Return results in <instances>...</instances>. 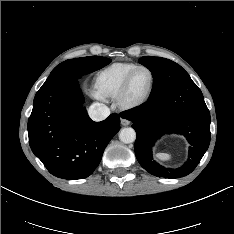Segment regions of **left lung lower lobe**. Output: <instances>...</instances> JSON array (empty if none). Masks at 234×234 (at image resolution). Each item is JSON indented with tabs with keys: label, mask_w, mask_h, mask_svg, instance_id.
Returning a JSON list of instances; mask_svg holds the SVG:
<instances>
[{
	"label": "left lung lower lobe",
	"mask_w": 234,
	"mask_h": 234,
	"mask_svg": "<svg viewBox=\"0 0 234 234\" xmlns=\"http://www.w3.org/2000/svg\"><path fill=\"white\" fill-rule=\"evenodd\" d=\"M136 130L135 155L152 175L180 178L198 165L210 143V113L203 95L191 78L151 95L146 103L121 114ZM184 135L191 147L187 162L178 169H167L152 157V146L161 135Z\"/></svg>",
	"instance_id": "obj_1"
}]
</instances>
